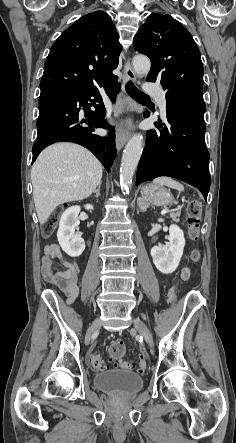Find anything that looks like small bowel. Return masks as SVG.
<instances>
[{"mask_svg": "<svg viewBox=\"0 0 236 443\" xmlns=\"http://www.w3.org/2000/svg\"><path fill=\"white\" fill-rule=\"evenodd\" d=\"M56 261L63 266V270H54L53 262ZM42 273L44 279L53 285L71 303L78 294L79 267L75 261L69 260L63 255L61 250L54 245L44 248V256L42 258ZM190 276V270L183 267L180 277L187 280Z\"/></svg>", "mask_w": 236, "mask_h": 443, "instance_id": "small-bowel-1", "label": "small bowel"}]
</instances>
